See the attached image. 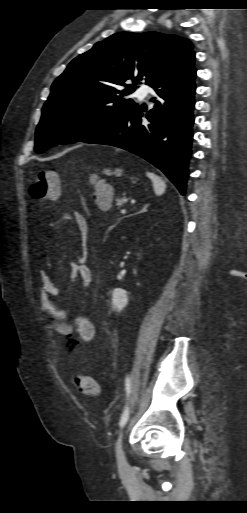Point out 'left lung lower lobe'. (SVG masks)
Segmentation results:
<instances>
[{"label": "left lung lower lobe", "instance_id": "left-lung-lower-lobe-1", "mask_svg": "<svg viewBox=\"0 0 247 513\" xmlns=\"http://www.w3.org/2000/svg\"><path fill=\"white\" fill-rule=\"evenodd\" d=\"M194 58L152 86L156 94L151 98L154 108L145 115L148 122H143L144 109L137 105L110 128L82 142L119 147L144 158L184 195L193 138Z\"/></svg>", "mask_w": 247, "mask_h": 513}]
</instances>
